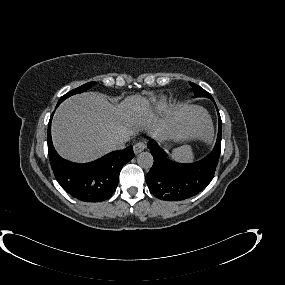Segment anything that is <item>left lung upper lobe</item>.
Returning a JSON list of instances; mask_svg holds the SVG:
<instances>
[{
	"instance_id": "5c2ea615",
	"label": "left lung upper lobe",
	"mask_w": 285,
	"mask_h": 285,
	"mask_svg": "<svg viewBox=\"0 0 285 285\" xmlns=\"http://www.w3.org/2000/svg\"><path fill=\"white\" fill-rule=\"evenodd\" d=\"M190 85L193 87L194 92H195V97H207L212 99V96L210 95V93H208L207 91H205L204 89H202L200 86L190 82Z\"/></svg>"
}]
</instances>
